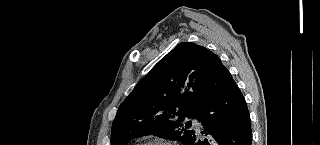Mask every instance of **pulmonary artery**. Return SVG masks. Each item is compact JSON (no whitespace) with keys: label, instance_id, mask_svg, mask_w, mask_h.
Listing matches in <instances>:
<instances>
[{"label":"pulmonary artery","instance_id":"1","mask_svg":"<svg viewBox=\"0 0 320 145\" xmlns=\"http://www.w3.org/2000/svg\"><path fill=\"white\" fill-rule=\"evenodd\" d=\"M192 123L196 129L200 128V122L197 119H192Z\"/></svg>","mask_w":320,"mask_h":145}]
</instances>
